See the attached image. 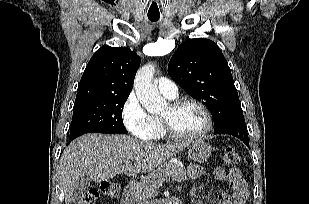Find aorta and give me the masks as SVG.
I'll list each match as a JSON object with an SVG mask.
<instances>
[{
	"label": "aorta",
	"instance_id": "aorta-1",
	"mask_svg": "<svg viewBox=\"0 0 309 204\" xmlns=\"http://www.w3.org/2000/svg\"><path fill=\"white\" fill-rule=\"evenodd\" d=\"M154 72L153 64L144 65L137 71L134 80L138 100L151 113L162 111L166 106L165 99L160 96L157 86L153 84Z\"/></svg>",
	"mask_w": 309,
	"mask_h": 204
}]
</instances>
